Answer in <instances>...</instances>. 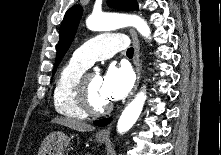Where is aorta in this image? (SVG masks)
Listing matches in <instances>:
<instances>
[{
  "label": "aorta",
  "mask_w": 221,
  "mask_h": 155,
  "mask_svg": "<svg viewBox=\"0 0 221 155\" xmlns=\"http://www.w3.org/2000/svg\"><path fill=\"white\" fill-rule=\"evenodd\" d=\"M86 26L92 31H112L124 26H132L145 38H150V28L146 21L137 15L99 14L90 15ZM146 100L145 88L136 94L134 99L126 106L117 123L120 134L127 132L139 118Z\"/></svg>",
  "instance_id": "762f6f07"
}]
</instances>
